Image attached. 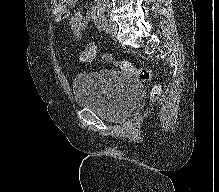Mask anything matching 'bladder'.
<instances>
[{
	"label": "bladder",
	"instance_id": "1",
	"mask_svg": "<svg viewBox=\"0 0 219 192\" xmlns=\"http://www.w3.org/2000/svg\"><path fill=\"white\" fill-rule=\"evenodd\" d=\"M72 89L78 107L93 110L109 122L126 118L141 96L139 83L127 73L114 69L77 74Z\"/></svg>",
	"mask_w": 219,
	"mask_h": 192
}]
</instances>
